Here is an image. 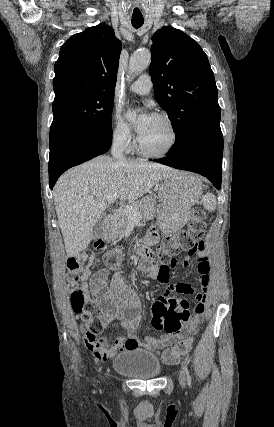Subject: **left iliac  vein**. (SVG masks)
<instances>
[{"mask_svg": "<svg viewBox=\"0 0 274 427\" xmlns=\"http://www.w3.org/2000/svg\"><path fill=\"white\" fill-rule=\"evenodd\" d=\"M178 379L182 387L186 386V377L182 370H179Z\"/></svg>", "mask_w": 274, "mask_h": 427, "instance_id": "1", "label": "left iliac vein"}]
</instances>
